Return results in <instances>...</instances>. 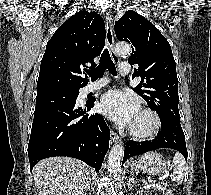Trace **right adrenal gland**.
<instances>
[{"label": "right adrenal gland", "mask_w": 211, "mask_h": 195, "mask_svg": "<svg viewBox=\"0 0 211 195\" xmlns=\"http://www.w3.org/2000/svg\"><path fill=\"white\" fill-rule=\"evenodd\" d=\"M90 190H91V189H90V183H89V185H88L87 189L85 190L84 195H86L87 191H90Z\"/></svg>", "instance_id": "2a0ac1e0"}]
</instances>
